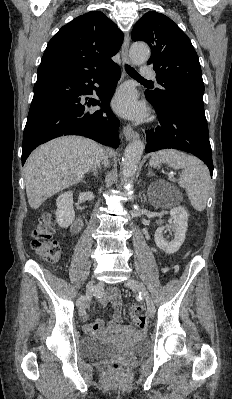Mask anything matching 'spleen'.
I'll return each mask as SVG.
<instances>
[{
	"label": "spleen",
	"instance_id": "1",
	"mask_svg": "<svg viewBox=\"0 0 232 399\" xmlns=\"http://www.w3.org/2000/svg\"><path fill=\"white\" fill-rule=\"evenodd\" d=\"M149 164L152 168L167 164L169 168L182 170L179 186L184 188L197 211L205 209L211 186L209 170L203 162L178 150H160L153 154Z\"/></svg>",
	"mask_w": 232,
	"mask_h": 399
}]
</instances>
